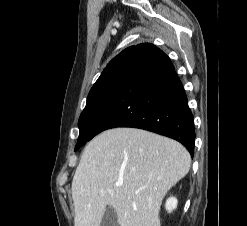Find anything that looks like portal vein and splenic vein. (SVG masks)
<instances>
[{
	"label": "portal vein and splenic vein",
	"instance_id": "1",
	"mask_svg": "<svg viewBox=\"0 0 247 226\" xmlns=\"http://www.w3.org/2000/svg\"><path fill=\"white\" fill-rule=\"evenodd\" d=\"M116 186L121 187L122 183H117Z\"/></svg>",
	"mask_w": 247,
	"mask_h": 226
}]
</instances>
